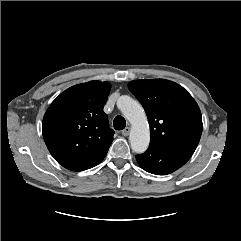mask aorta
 <instances>
[{
	"label": "aorta",
	"mask_w": 241,
	"mask_h": 241,
	"mask_svg": "<svg viewBox=\"0 0 241 241\" xmlns=\"http://www.w3.org/2000/svg\"><path fill=\"white\" fill-rule=\"evenodd\" d=\"M118 107L132 126L129 136L132 150L136 153L145 152L150 142V130L143 107L128 96L119 98Z\"/></svg>",
	"instance_id": "1"
}]
</instances>
